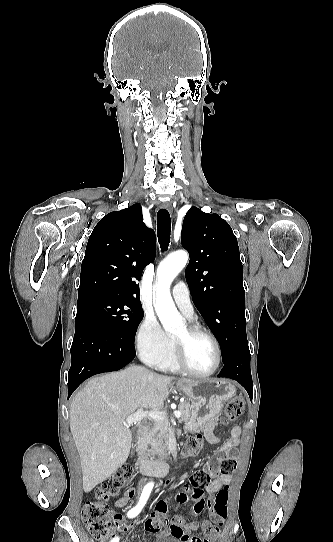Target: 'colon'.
<instances>
[{"label": "colon", "instance_id": "5ec220e1", "mask_svg": "<svg viewBox=\"0 0 333 542\" xmlns=\"http://www.w3.org/2000/svg\"><path fill=\"white\" fill-rule=\"evenodd\" d=\"M245 402L241 396H236L226 406L221 424L224 427L229 426L237 420L243 413ZM203 449V439L201 435H194L188 438L182 447L181 455L183 458H193L198 456ZM236 470V462L232 458H222L212 469L211 474L206 470L195 471L190 479L193 497L199 498L201 505H193L191 514L193 516H202L204 513L205 501L201 488L208 486L211 476L230 475ZM133 475L131 465L120 466L114 475L104 479L101 488L96 491L91 500L86 501L82 507V517L88 531L95 539L109 537L114 533L115 528L111 525L112 521H117V517L108 510L107 499L117 495L126 483L130 481ZM207 489V488H206ZM228 487L219 490L208 504L210 518L203 523V532L209 538H215L220 533L221 527L227 518ZM119 509V506H116ZM156 511L148 517L145 528L148 533L162 537L173 535L176 539L184 536V531L179 525L185 523L183 516L173 515L170 519L168 514L169 502L167 500H157L155 502ZM202 522L204 519H197Z\"/></svg>", "mask_w": 333, "mask_h": 542}]
</instances>
